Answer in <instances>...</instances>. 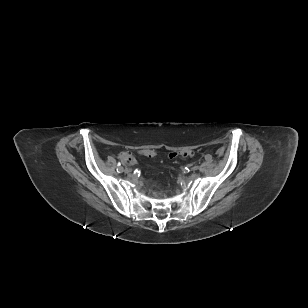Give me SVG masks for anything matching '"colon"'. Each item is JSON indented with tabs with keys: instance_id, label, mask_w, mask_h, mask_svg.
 <instances>
[{
	"instance_id": "colon-1",
	"label": "colon",
	"mask_w": 308,
	"mask_h": 308,
	"mask_svg": "<svg viewBox=\"0 0 308 308\" xmlns=\"http://www.w3.org/2000/svg\"><path fill=\"white\" fill-rule=\"evenodd\" d=\"M142 154L147 156V157H153L155 156V151L154 150H151V149H144L142 150ZM178 155H184V156H189V155H192V152L190 151H186V152H174V153H171L170 154V158H175L177 157ZM119 158L124 162V163H127V164H130L133 162V157L127 153V152H122L119 154Z\"/></svg>"
}]
</instances>
